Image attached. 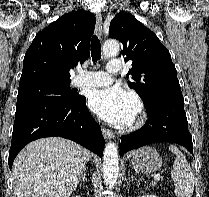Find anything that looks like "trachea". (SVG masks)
I'll return each instance as SVG.
<instances>
[{
	"mask_svg": "<svg viewBox=\"0 0 209 197\" xmlns=\"http://www.w3.org/2000/svg\"><path fill=\"white\" fill-rule=\"evenodd\" d=\"M91 57L93 62H96L101 58L100 40L96 35H94L91 40Z\"/></svg>",
	"mask_w": 209,
	"mask_h": 197,
	"instance_id": "trachea-1",
	"label": "trachea"
}]
</instances>
